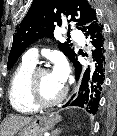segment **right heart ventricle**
Masks as SVG:
<instances>
[{
	"label": "right heart ventricle",
	"instance_id": "right-heart-ventricle-1",
	"mask_svg": "<svg viewBox=\"0 0 117 136\" xmlns=\"http://www.w3.org/2000/svg\"><path fill=\"white\" fill-rule=\"evenodd\" d=\"M35 68V63L23 60L11 78L9 101L13 109L18 113L32 114L38 110L31 103L28 96V81Z\"/></svg>",
	"mask_w": 117,
	"mask_h": 136
}]
</instances>
